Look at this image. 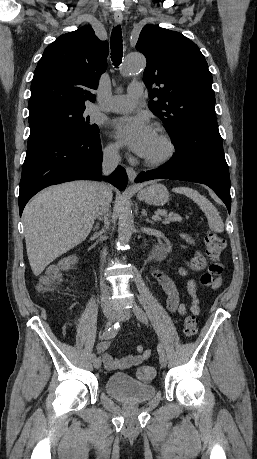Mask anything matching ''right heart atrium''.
<instances>
[{
  "label": "right heart atrium",
  "mask_w": 257,
  "mask_h": 459,
  "mask_svg": "<svg viewBox=\"0 0 257 459\" xmlns=\"http://www.w3.org/2000/svg\"><path fill=\"white\" fill-rule=\"evenodd\" d=\"M105 156L111 160H117L120 154V146L117 143H108L104 149Z\"/></svg>",
  "instance_id": "1"
}]
</instances>
